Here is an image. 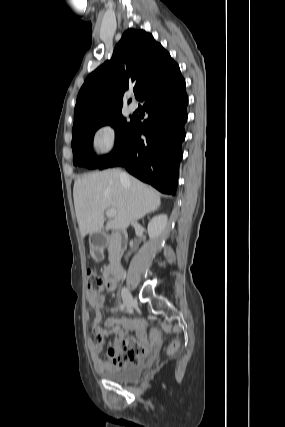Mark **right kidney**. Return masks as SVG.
Masks as SVG:
<instances>
[{
    "label": "right kidney",
    "instance_id": "1",
    "mask_svg": "<svg viewBox=\"0 0 285 427\" xmlns=\"http://www.w3.org/2000/svg\"><path fill=\"white\" fill-rule=\"evenodd\" d=\"M167 220L168 218L166 214L154 216L150 220L148 223V234L150 239L155 240L163 234L167 226Z\"/></svg>",
    "mask_w": 285,
    "mask_h": 427
}]
</instances>
